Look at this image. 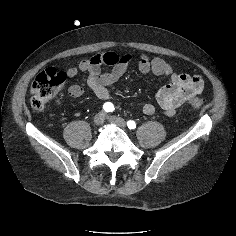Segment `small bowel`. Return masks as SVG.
<instances>
[{
    "mask_svg": "<svg viewBox=\"0 0 236 236\" xmlns=\"http://www.w3.org/2000/svg\"><path fill=\"white\" fill-rule=\"evenodd\" d=\"M134 59L135 56L132 53H99L82 60L77 67L69 68L66 74L69 78H75L80 71L87 73L88 88L99 99L112 101L115 100V96L110 92L109 87L126 73ZM103 65L112 66L111 71L102 72ZM137 66L143 74L152 73L156 77L168 79V82L156 94L157 104L167 116H173L180 106L200 94L204 88V80L200 75L174 73L170 64L161 58L151 59L146 54H141ZM67 92L72 97H80L84 94L85 88L80 85H71ZM142 111L146 115H153L156 107L151 103H145Z\"/></svg>",
    "mask_w": 236,
    "mask_h": 236,
    "instance_id": "c3829d8e",
    "label": "small bowel"
}]
</instances>
